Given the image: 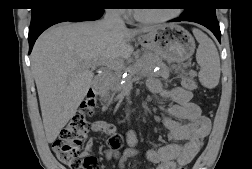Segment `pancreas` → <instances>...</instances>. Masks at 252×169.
I'll list each match as a JSON object with an SVG mask.
<instances>
[{
  "label": "pancreas",
  "instance_id": "cf45deb5",
  "mask_svg": "<svg viewBox=\"0 0 252 169\" xmlns=\"http://www.w3.org/2000/svg\"><path fill=\"white\" fill-rule=\"evenodd\" d=\"M159 66L161 69L158 72H154V68ZM124 71H130L131 77L137 76H159L163 79H168L170 75V68L166 66L162 60L155 54H145L142 58L138 59L133 65L123 67L120 70H116L112 75L107 77L104 81L105 87L112 88L117 81L121 79V74Z\"/></svg>",
  "mask_w": 252,
  "mask_h": 169
}]
</instances>
